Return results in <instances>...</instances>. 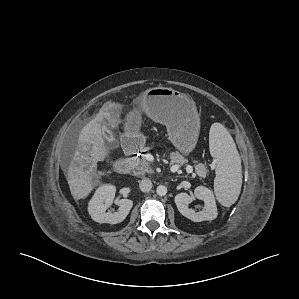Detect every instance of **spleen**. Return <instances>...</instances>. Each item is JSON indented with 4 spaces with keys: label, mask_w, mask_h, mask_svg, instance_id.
Wrapping results in <instances>:
<instances>
[{
    "label": "spleen",
    "mask_w": 299,
    "mask_h": 299,
    "mask_svg": "<svg viewBox=\"0 0 299 299\" xmlns=\"http://www.w3.org/2000/svg\"><path fill=\"white\" fill-rule=\"evenodd\" d=\"M210 154L216 161L214 192L226 207L234 204L242 186V166L232 136L221 123H213L209 132Z\"/></svg>",
    "instance_id": "3e777b00"
}]
</instances>
